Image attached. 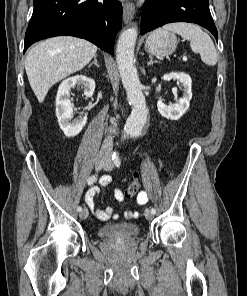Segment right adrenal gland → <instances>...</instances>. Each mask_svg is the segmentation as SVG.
<instances>
[{
  "label": "right adrenal gland",
  "instance_id": "right-adrenal-gland-1",
  "mask_svg": "<svg viewBox=\"0 0 247 296\" xmlns=\"http://www.w3.org/2000/svg\"><path fill=\"white\" fill-rule=\"evenodd\" d=\"M93 64H94L95 66H97V67H100L99 64H98V62H97V55L94 56V61H93L92 63H90V64L88 65V67L90 68Z\"/></svg>",
  "mask_w": 247,
  "mask_h": 296
}]
</instances>
